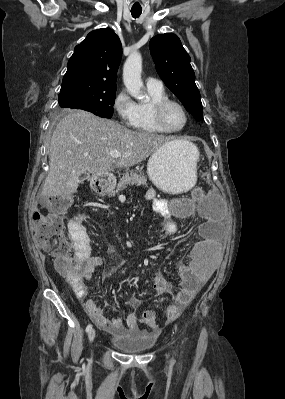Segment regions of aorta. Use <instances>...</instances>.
I'll use <instances>...</instances> for the list:
<instances>
[{
  "label": "aorta",
  "mask_w": 285,
  "mask_h": 399,
  "mask_svg": "<svg viewBox=\"0 0 285 399\" xmlns=\"http://www.w3.org/2000/svg\"><path fill=\"white\" fill-rule=\"evenodd\" d=\"M142 57L138 51H133L127 58L123 67L124 85L131 96L137 100L144 101L145 96L141 89L143 82L141 79Z\"/></svg>",
  "instance_id": "1"
}]
</instances>
